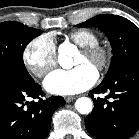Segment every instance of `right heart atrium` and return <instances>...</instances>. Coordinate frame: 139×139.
Segmentation results:
<instances>
[{"mask_svg":"<svg viewBox=\"0 0 139 139\" xmlns=\"http://www.w3.org/2000/svg\"><path fill=\"white\" fill-rule=\"evenodd\" d=\"M26 68L35 76H45L57 64L56 44L50 35L44 34L30 41L22 53Z\"/></svg>","mask_w":139,"mask_h":139,"instance_id":"1","label":"right heart atrium"}]
</instances>
